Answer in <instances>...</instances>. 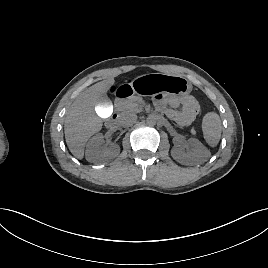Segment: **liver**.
Returning <instances> with one entry per match:
<instances>
[{
  "instance_id": "1",
  "label": "liver",
  "mask_w": 268,
  "mask_h": 268,
  "mask_svg": "<svg viewBox=\"0 0 268 268\" xmlns=\"http://www.w3.org/2000/svg\"><path fill=\"white\" fill-rule=\"evenodd\" d=\"M114 77L100 81L84 90L75 99L65 118V139L70 152L78 159L84 157L88 139L102 128V119L95 108L114 84Z\"/></svg>"
}]
</instances>
